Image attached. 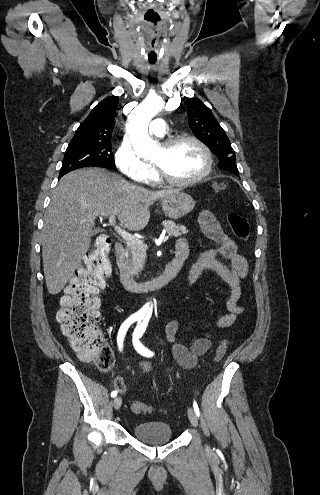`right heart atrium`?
Segmentation results:
<instances>
[{
	"label": "right heart atrium",
	"instance_id": "d8ad5b80",
	"mask_svg": "<svg viewBox=\"0 0 320 495\" xmlns=\"http://www.w3.org/2000/svg\"><path fill=\"white\" fill-rule=\"evenodd\" d=\"M115 161L120 171L128 178L149 183L156 178L153 168L141 160L128 140H123L119 145Z\"/></svg>",
	"mask_w": 320,
	"mask_h": 495
}]
</instances>
